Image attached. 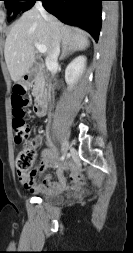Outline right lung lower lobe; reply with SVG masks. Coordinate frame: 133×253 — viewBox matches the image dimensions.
I'll use <instances>...</instances> for the list:
<instances>
[{
  "label": "right lung lower lobe",
  "instance_id": "obj_1",
  "mask_svg": "<svg viewBox=\"0 0 133 253\" xmlns=\"http://www.w3.org/2000/svg\"><path fill=\"white\" fill-rule=\"evenodd\" d=\"M21 11L29 10L36 0H26ZM45 9L62 22L79 26L98 41L101 28V1L103 0H41Z\"/></svg>",
  "mask_w": 133,
  "mask_h": 253
}]
</instances>
